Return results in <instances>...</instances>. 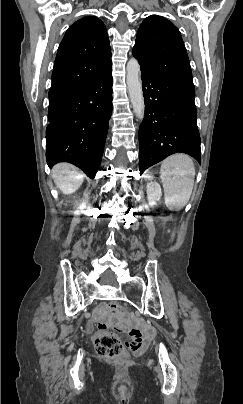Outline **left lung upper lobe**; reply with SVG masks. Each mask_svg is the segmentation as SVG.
Returning <instances> with one entry per match:
<instances>
[{"mask_svg":"<svg viewBox=\"0 0 243 404\" xmlns=\"http://www.w3.org/2000/svg\"><path fill=\"white\" fill-rule=\"evenodd\" d=\"M133 55L143 69L192 80L190 62L181 34L162 16L151 15L142 22Z\"/></svg>","mask_w":243,"mask_h":404,"instance_id":"obj_1","label":"left lung upper lobe"}]
</instances>
